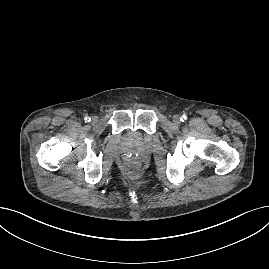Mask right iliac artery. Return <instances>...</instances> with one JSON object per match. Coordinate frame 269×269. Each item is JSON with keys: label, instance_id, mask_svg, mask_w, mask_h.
Segmentation results:
<instances>
[{"label": "right iliac artery", "instance_id": "right-iliac-artery-1", "mask_svg": "<svg viewBox=\"0 0 269 269\" xmlns=\"http://www.w3.org/2000/svg\"><path fill=\"white\" fill-rule=\"evenodd\" d=\"M84 120H85V122H90V121H91V118L88 117V116H86V117L84 118Z\"/></svg>", "mask_w": 269, "mask_h": 269}]
</instances>
